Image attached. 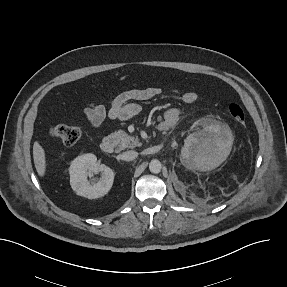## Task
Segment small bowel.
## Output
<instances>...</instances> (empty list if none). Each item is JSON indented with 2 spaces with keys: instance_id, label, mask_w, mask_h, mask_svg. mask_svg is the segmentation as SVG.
<instances>
[{
  "instance_id": "c3829d8e",
  "label": "small bowel",
  "mask_w": 287,
  "mask_h": 287,
  "mask_svg": "<svg viewBox=\"0 0 287 287\" xmlns=\"http://www.w3.org/2000/svg\"><path fill=\"white\" fill-rule=\"evenodd\" d=\"M182 101L191 105L197 100V94L194 91L178 92ZM163 93L159 86H148L126 90L109 101L108 107L101 104H91L84 109V114L88 122L95 128L100 127L106 118L111 120H126L137 115L140 112V102L154 99ZM179 110L169 108L165 111L163 119L159 124L162 131L169 130L175 126L179 120Z\"/></svg>"
}]
</instances>
